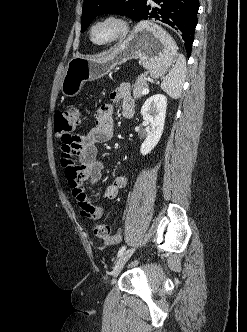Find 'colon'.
I'll return each mask as SVG.
<instances>
[{"label":"colon","instance_id":"1","mask_svg":"<svg viewBox=\"0 0 247 332\" xmlns=\"http://www.w3.org/2000/svg\"><path fill=\"white\" fill-rule=\"evenodd\" d=\"M80 121V112L75 107H69L64 111H59L54 116V131L57 139L62 145H75L73 130ZM96 237L104 240H119V234H113L110 226L97 224L94 227Z\"/></svg>","mask_w":247,"mask_h":332}]
</instances>
